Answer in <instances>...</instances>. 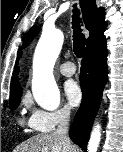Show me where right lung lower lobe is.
I'll use <instances>...</instances> for the list:
<instances>
[{"mask_svg":"<svg viewBox=\"0 0 123 152\" xmlns=\"http://www.w3.org/2000/svg\"><path fill=\"white\" fill-rule=\"evenodd\" d=\"M106 40L86 49L80 71L82 103L71 125L69 135L72 141L86 150L89 133L99 108L105 83L107 81Z\"/></svg>","mask_w":123,"mask_h":152,"instance_id":"right-lung-lower-lobe-1","label":"right lung lower lobe"}]
</instances>
